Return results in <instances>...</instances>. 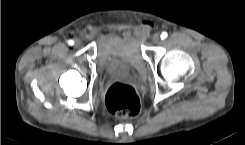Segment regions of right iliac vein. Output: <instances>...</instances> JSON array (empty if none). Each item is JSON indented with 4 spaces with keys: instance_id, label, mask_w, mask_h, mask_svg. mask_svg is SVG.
Here are the masks:
<instances>
[{
    "instance_id": "right-iliac-vein-1",
    "label": "right iliac vein",
    "mask_w": 245,
    "mask_h": 145,
    "mask_svg": "<svg viewBox=\"0 0 245 145\" xmlns=\"http://www.w3.org/2000/svg\"><path fill=\"white\" fill-rule=\"evenodd\" d=\"M82 44L81 40L80 39H75V46L76 47H79L80 45Z\"/></svg>"
}]
</instances>
